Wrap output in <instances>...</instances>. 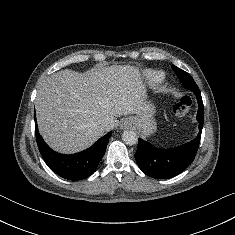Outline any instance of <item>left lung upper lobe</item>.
<instances>
[{
	"label": "left lung upper lobe",
	"mask_w": 235,
	"mask_h": 235,
	"mask_svg": "<svg viewBox=\"0 0 235 235\" xmlns=\"http://www.w3.org/2000/svg\"><path fill=\"white\" fill-rule=\"evenodd\" d=\"M172 69L177 74V76H178L179 80L181 81V83H182V80H185V81L189 82V84L192 85V87L194 89L199 90V88L196 85L195 81L193 80V78L187 72L179 69L178 67H176L174 65H172Z\"/></svg>",
	"instance_id": "obj_1"
}]
</instances>
